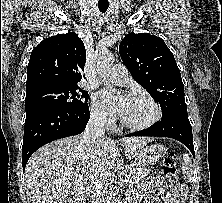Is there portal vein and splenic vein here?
Masks as SVG:
<instances>
[{
	"instance_id": "1",
	"label": "portal vein and splenic vein",
	"mask_w": 222,
	"mask_h": 203,
	"mask_svg": "<svg viewBox=\"0 0 222 203\" xmlns=\"http://www.w3.org/2000/svg\"><path fill=\"white\" fill-rule=\"evenodd\" d=\"M126 180H129V177H128V176L126 177Z\"/></svg>"
}]
</instances>
